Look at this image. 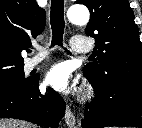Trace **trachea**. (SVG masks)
<instances>
[{"instance_id": "trachea-1", "label": "trachea", "mask_w": 142, "mask_h": 128, "mask_svg": "<svg viewBox=\"0 0 142 128\" xmlns=\"http://www.w3.org/2000/svg\"><path fill=\"white\" fill-rule=\"evenodd\" d=\"M50 22L52 29L51 46H62V39L65 27L64 0H51Z\"/></svg>"}]
</instances>
